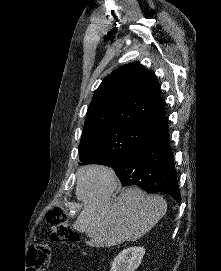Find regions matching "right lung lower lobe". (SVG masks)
Here are the masks:
<instances>
[{
    "label": "right lung lower lobe",
    "mask_w": 221,
    "mask_h": 271,
    "mask_svg": "<svg viewBox=\"0 0 221 271\" xmlns=\"http://www.w3.org/2000/svg\"><path fill=\"white\" fill-rule=\"evenodd\" d=\"M109 167L123 186L136 185L147 193L163 192L180 201L166 119L153 124L137 146Z\"/></svg>",
    "instance_id": "right-lung-lower-lobe-1"
}]
</instances>
